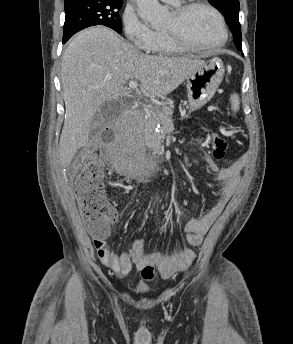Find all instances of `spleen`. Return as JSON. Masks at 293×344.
<instances>
[{"instance_id":"obj_1","label":"spleen","mask_w":293,"mask_h":344,"mask_svg":"<svg viewBox=\"0 0 293 344\" xmlns=\"http://www.w3.org/2000/svg\"><path fill=\"white\" fill-rule=\"evenodd\" d=\"M230 101H231V108L234 112H237L239 110V106H240V101H239V97L237 94H233L230 97Z\"/></svg>"}]
</instances>
